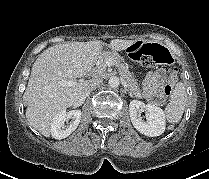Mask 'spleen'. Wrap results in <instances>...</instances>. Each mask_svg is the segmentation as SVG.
I'll return each instance as SVG.
<instances>
[{
  "label": "spleen",
  "instance_id": "obj_1",
  "mask_svg": "<svg viewBox=\"0 0 209 179\" xmlns=\"http://www.w3.org/2000/svg\"><path fill=\"white\" fill-rule=\"evenodd\" d=\"M187 102L186 87L183 83H178L174 88L170 103L166 106L164 114L169 123H178L183 115Z\"/></svg>",
  "mask_w": 209,
  "mask_h": 179
}]
</instances>
